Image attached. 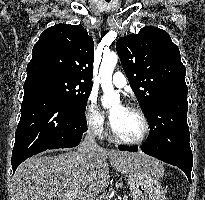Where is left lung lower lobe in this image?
I'll list each match as a JSON object with an SVG mask.
<instances>
[{
	"instance_id": "obj_1",
	"label": "left lung lower lobe",
	"mask_w": 205,
	"mask_h": 200,
	"mask_svg": "<svg viewBox=\"0 0 205 200\" xmlns=\"http://www.w3.org/2000/svg\"><path fill=\"white\" fill-rule=\"evenodd\" d=\"M188 102L186 94H176L161 100L156 109L160 121H153L150 134L142 147H120V150L141 151L166 163L177 166L191 182L193 165L187 124ZM163 114H167L163 116Z\"/></svg>"
}]
</instances>
